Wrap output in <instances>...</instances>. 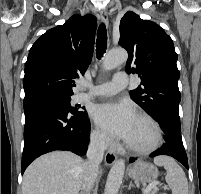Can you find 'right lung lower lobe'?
Listing matches in <instances>:
<instances>
[{"instance_id": "98d812e1", "label": "right lung lower lobe", "mask_w": 201, "mask_h": 194, "mask_svg": "<svg viewBox=\"0 0 201 194\" xmlns=\"http://www.w3.org/2000/svg\"><path fill=\"white\" fill-rule=\"evenodd\" d=\"M24 112L22 173L33 160L51 151L86 153L90 133L87 117L73 114L62 102L48 95L25 98Z\"/></svg>"}]
</instances>
